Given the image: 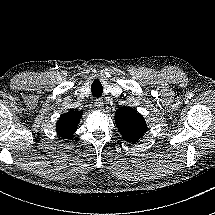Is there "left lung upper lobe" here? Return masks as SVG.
<instances>
[{
    "instance_id": "left-lung-upper-lobe-1",
    "label": "left lung upper lobe",
    "mask_w": 215,
    "mask_h": 215,
    "mask_svg": "<svg viewBox=\"0 0 215 215\" xmlns=\"http://www.w3.org/2000/svg\"><path fill=\"white\" fill-rule=\"evenodd\" d=\"M115 122L122 137L131 143H136L147 131V125L140 113L130 107L116 111Z\"/></svg>"
}]
</instances>
